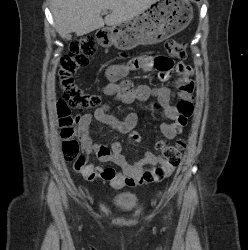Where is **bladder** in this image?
<instances>
[{"mask_svg": "<svg viewBox=\"0 0 248 250\" xmlns=\"http://www.w3.org/2000/svg\"><path fill=\"white\" fill-rule=\"evenodd\" d=\"M139 196L132 191H122L115 193L113 196V204L122 210L133 209L138 205Z\"/></svg>", "mask_w": 248, "mask_h": 250, "instance_id": "1", "label": "bladder"}]
</instances>
